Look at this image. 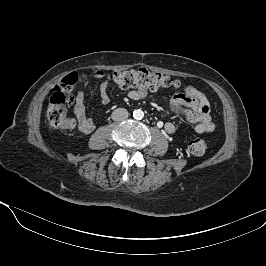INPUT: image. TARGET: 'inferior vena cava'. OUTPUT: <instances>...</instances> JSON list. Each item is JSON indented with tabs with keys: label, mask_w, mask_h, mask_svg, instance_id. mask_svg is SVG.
Returning a JSON list of instances; mask_svg holds the SVG:
<instances>
[{
	"label": "inferior vena cava",
	"mask_w": 266,
	"mask_h": 266,
	"mask_svg": "<svg viewBox=\"0 0 266 266\" xmlns=\"http://www.w3.org/2000/svg\"><path fill=\"white\" fill-rule=\"evenodd\" d=\"M128 111L124 108H118V109H115L113 112H112V119L114 121H121V120H124V119H127L128 118Z\"/></svg>",
	"instance_id": "602c4592"
}]
</instances>
